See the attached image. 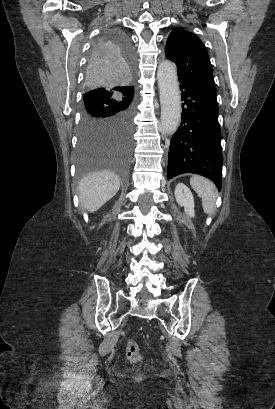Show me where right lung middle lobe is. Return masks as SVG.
I'll return each mask as SVG.
<instances>
[{
  "label": "right lung middle lobe",
  "instance_id": "dd1d6c3e",
  "mask_svg": "<svg viewBox=\"0 0 275 409\" xmlns=\"http://www.w3.org/2000/svg\"><path fill=\"white\" fill-rule=\"evenodd\" d=\"M136 52L112 25L94 41L82 94L81 123L75 151L74 182L85 172L118 173L127 181L126 166L133 150L134 93L114 92L131 85ZM87 175V174H86ZM121 188L126 184L121 183Z\"/></svg>",
  "mask_w": 275,
  "mask_h": 409
}]
</instances>
